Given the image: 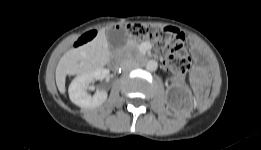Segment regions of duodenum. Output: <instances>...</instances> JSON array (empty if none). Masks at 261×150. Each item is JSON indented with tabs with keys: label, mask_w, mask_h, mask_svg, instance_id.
<instances>
[{
	"label": "duodenum",
	"mask_w": 261,
	"mask_h": 150,
	"mask_svg": "<svg viewBox=\"0 0 261 150\" xmlns=\"http://www.w3.org/2000/svg\"><path fill=\"white\" fill-rule=\"evenodd\" d=\"M119 65H120V57L117 55L112 59L111 66L112 68L117 69Z\"/></svg>",
	"instance_id": "410a0bca"
}]
</instances>
